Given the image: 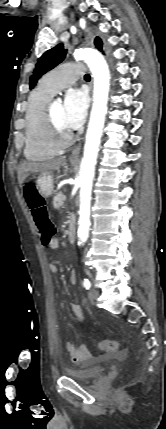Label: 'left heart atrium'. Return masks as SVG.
Returning a JSON list of instances; mask_svg holds the SVG:
<instances>
[{
    "instance_id": "1",
    "label": "left heart atrium",
    "mask_w": 166,
    "mask_h": 429,
    "mask_svg": "<svg viewBox=\"0 0 166 429\" xmlns=\"http://www.w3.org/2000/svg\"><path fill=\"white\" fill-rule=\"evenodd\" d=\"M88 109V96L83 90L72 89L67 92L63 103V119L70 130L78 129L85 121Z\"/></svg>"
}]
</instances>
